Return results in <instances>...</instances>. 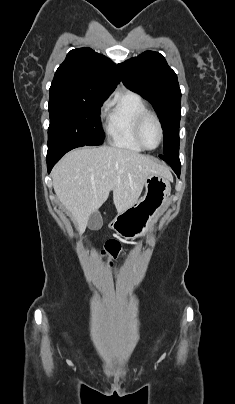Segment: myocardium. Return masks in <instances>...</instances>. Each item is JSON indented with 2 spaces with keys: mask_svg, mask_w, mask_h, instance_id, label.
<instances>
[{
  "mask_svg": "<svg viewBox=\"0 0 235 404\" xmlns=\"http://www.w3.org/2000/svg\"><path fill=\"white\" fill-rule=\"evenodd\" d=\"M147 118H153L157 125H158V129H159V141L158 144L155 147H147L141 137V130H142V126L144 124V122L146 121ZM134 135L135 138L137 140V142L140 144V146L145 149V150H155L157 149L162 141H163V137H164V130H163V126L161 123L160 118L158 117V115L152 111H145L142 114H140L138 116V118L136 119L135 125H134Z\"/></svg>",
  "mask_w": 235,
  "mask_h": 404,
  "instance_id": "myocardium-1",
  "label": "myocardium"
}]
</instances>
